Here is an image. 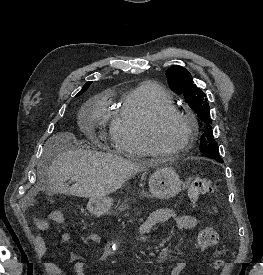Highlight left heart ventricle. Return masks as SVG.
Returning a JSON list of instances; mask_svg holds the SVG:
<instances>
[{
    "instance_id": "b2bd125f",
    "label": "left heart ventricle",
    "mask_w": 263,
    "mask_h": 275,
    "mask_svg": "<svg viewBox=\"0 0 263 275\" xmlns=\"http://www.w3.org/2000/svg\"><path fill=\"white\" fill-rule=\"evenodd\" d=\"M186 122L178 117L164 119L157 127L156 140L165 149H175L181 146L188 136Z\"/></svg>"
}]
</instances>
